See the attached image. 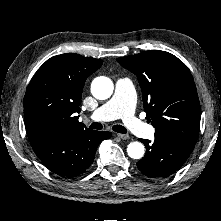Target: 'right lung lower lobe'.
<instances>
[{"label": "right lung lower lobe", "instance_id": "1", "mask_svg": "<svg viewBox=\"0 0 221 221\" xmlns=\"http://www.w3.org/2000/svg\"><path fill=\"white\" fill-rule=\"evenodd\" d=\"M111 136L110 132L87 130L40 132L28 138L34 152L50 171L70 178L82 174L93 163L98 145Z\"/></svg>", "mask_w": 221, "mask_h": 221}]
</instances>
